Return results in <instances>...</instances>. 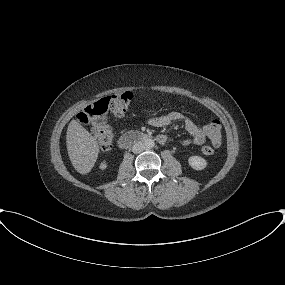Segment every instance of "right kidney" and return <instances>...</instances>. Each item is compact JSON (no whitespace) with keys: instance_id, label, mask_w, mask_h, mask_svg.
<instances>
[{"instance_id":"ca27d5eb","label":"right kidney","mask_w":285,"mask_h":285,"mask_svg":"<svg viewBox=\"0 0 285 285\" xmlns=\"http://www.w3.org/2000/svg\"><path fill=\"white\" fill-rule=\"evenodd\" d=\"M99 168H100L101 170L106 169V168H107V163H106L105 161L102 162V163H100Z\"/></svg>"}]
</instances>
